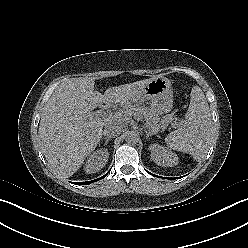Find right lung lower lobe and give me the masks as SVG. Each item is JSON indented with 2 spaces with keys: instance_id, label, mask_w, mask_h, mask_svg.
Segmentation results:
<instances>
[{
  "instance_id": "1",
  "label": "right lung lower lobe",
  "mask_w": 248,
  "mask_h": 248,
  "mask_svg": "<svg viewBox=\"0 0 248 248\" xmlns=\"http://www.w3.org/2000/svg\"><path fill=\"white\" fill-rule=\"evenodd\" d=\"M108 173H106L104 176L98 178V179H95V180H92V181H87V182H75L76 185H88V184H91L92 182H96L100 179H103L104 177H106Z\"/></svg>"
}]
</instances>
